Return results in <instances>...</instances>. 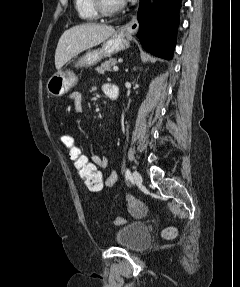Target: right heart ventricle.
Segmentation results:
<instances>
[{
	"label": "right heart ventricle",
	"mask_w": 240,
	"mask_h": 287,
	"mask_svg": "<svg viewBox=\"0 0 240 287\" xmlns=\"http://www.w3.org/2000/svg\"><path fill=\"white\" fill-rule=\"evenodd\" d=\"M74 5L79 17L83 20H95L99 16L93 0H74Z\"/></svg>",
	"instance_id": "e07e8e85"
}]
</instances>
